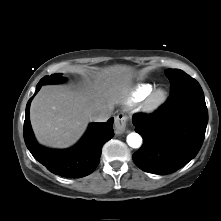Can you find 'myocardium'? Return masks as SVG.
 Returning <instances> with one entry per match:
<instances>
[{"instance_id":"1","label":"myocardium","mask_w":221,"mask_h":221,"mask_svg":"<svg viewBox=\"0 0 221 221\" xmlns=\"http://www.w3.org/2000/svg\"><path fill=\"white\" fill-rule=\"evenodd\" d=\"M167 91L163 88L154 89L147 97L145 109L148 112H154L159 109L167 100Z\"/></svg>"}]
</instances>
